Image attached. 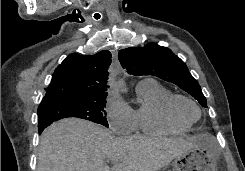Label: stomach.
<instances>
[{
	"mask_svg": "<svg viewBox=\"0 0 245 171\" xmlns=\"http://www.w3.org/2000/svg\"><path fill=\"white\" fill-rule=\"evenodd\" d=\"M173 171H217V154L212 140L203 138L194 149L173 161Z\"/></svg>",
	"mask_w": 245,
	"mask_h": 171,
	"instance_id": "0dacf381",
	"label": "stomach"
}]
</instances>
